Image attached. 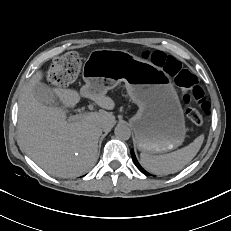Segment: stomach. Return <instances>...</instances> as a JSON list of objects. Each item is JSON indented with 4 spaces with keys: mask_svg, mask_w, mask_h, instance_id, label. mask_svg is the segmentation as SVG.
<instances>
[{
    "mask_svg": "<svg viewBox=\"0 0 231 231\" xmlns=\"http://www.w3.org/2000/svg\"><path fill=\"white\" fill-rule=\"evenodd\" d=\"M84 89L106 93L125 82L138 106L130 122L137 147L149 154L168 152L186 136L185 118L176 89L162 68L123 50L92 51L83 65Z\"/></svg>",
    "mask_w": 231,
    "mask_h": 231,
    "instance_id": "0dacf381",
    "label": "stomach"
}]
</instances>
